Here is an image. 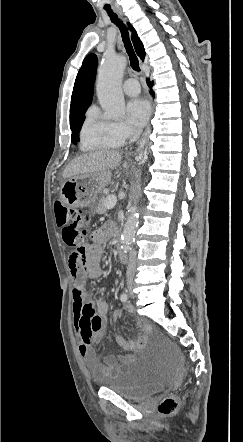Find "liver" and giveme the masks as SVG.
<instances>
[{"mask_svg":"<svg viewBox=\"0 0 243 442\" xmlns=\"http://www.w3.org/2000/svg\"><path fill=\"white\" fill-rule=\"evenodd\" d=\"M121 160L122 155L116 150L103 149L86 153L73 159L67 165L63 178L115 169L120 165ZM128 167V161H124L123 168L127 170Z\"/></svg>","mask_w":243,"mask_h":442,"instance_id":"obj_1","label":"liver"}]
</instances>
